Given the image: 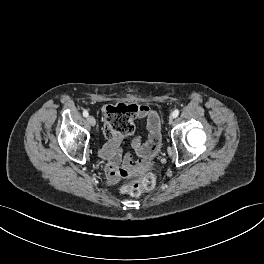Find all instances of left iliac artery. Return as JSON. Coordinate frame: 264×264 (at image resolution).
<instances>
[{
	"instance_id": "1",
	"label": "left iliac artery",
	"mask_w": 264,
	"mask_h": 264,
	"mask_svg": "<svg viewBox=\"0 0 264 264\" xmlns=\"http://www.w3.org/2000/svg\"><path fill=\"white\" fill-rule=\"evenodd\" d=\"M178 115H179V110H178V109H176V110H174V111L172 112V117H173V118H176Z\"/></svg>"
}]
</instances>
